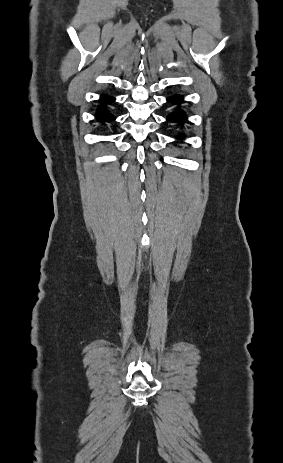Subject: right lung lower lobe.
Segmentation results:
<instances>
[{"instance_id": "obj_1", "label": "right lung lower lobe", "mask_w": 283, "mask_h": 463, "mask_svg": "<svg viewBox=\"0 0 283 463\" xmlns=\"http://www.w3.org/2000/svg\"><path fill=\"white\" fill-rule=\"evenodd\" d=\"M113 100H114V98L103 95V96H101L100 102L102 104H107L109 102H112ZM96 115H97L98 121H100V122H109V121H112V120L115 119V117L113 115H111L108 111L104 110L103 108H99L97 110Z\"/></svg>"}]
</instances>
